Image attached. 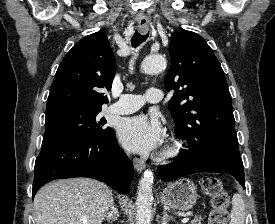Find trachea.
<instances>
[{
	"instance_id": "1",
	"label": "trachea",
	"mask_w": 275,
	"mask_h": 224,
	"mask_svg": "<svg viewBox=\"0 0 275 224\" xmlns=\"http://www.w3.org/2000/svg\"><path fill=\"white\" fill-rule=\"evenodd\" d=\"M148 38V34L142 35L137 30L135 31L133 37L131 38V43L133 47H138Z\"/></svg>"
}]
</instances>
